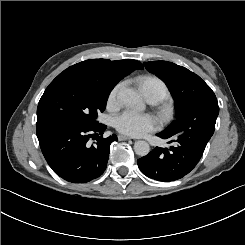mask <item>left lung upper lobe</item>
<instances>
[{"label":"left lung upper lobe","mask_w":245,"mask_h":245,"mask_svg":"<svg viewBox=\"0 0 245 245\" xmlns=\"http://www.w3.org/2000/svg\"><path fill=\"white\" fill-rule=\"evenodd\" d=\"M146 69L157 75L170 90L176 107L177 119L164 131L183 128L191 119L210 113L218 116L219 107L212 89L195 73L167 61L144 63Z\"/></svg>","instance_id":"obj_1"}]
</instances>
